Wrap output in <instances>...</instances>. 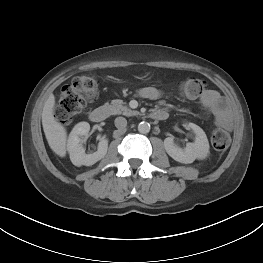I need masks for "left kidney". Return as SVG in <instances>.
Here are the masks:
<instances>
[{"label": "left kidney", "instance_id": "left-kidney-1", "mask_svg": "<svg viewBox=\"0 0 263 263\" xmlns=\"http://www.w3.org/2000/svg\"><path fill=\"white\" fill-rule=\"evenodd\" d=\"M188 127L195 133V141L187 143L185 148L176 145L173 137H167L164 140L168 155L184 164L192 163L195 159H204L209 153V142L205 132L194 123H189Z\"/></svg>", "mask_w": 263, "mask_h": 263}]
</instances>
